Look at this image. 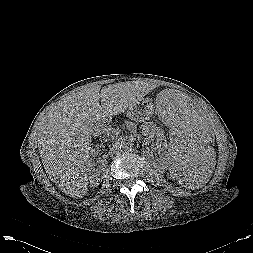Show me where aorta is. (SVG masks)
<instances>
[{"label":"aorta","mask_w":253,"mask_h":253,"mask_svg":"<svg viewBox=\"0 0 253 253\" xmlns=\"http://www.w3.org/2000/svg\"><path fill=\"white\" fill-rule=\"evenodd\" d=\"M118 148L122 153H128L132 150V144L127 140L118 142Z\"/></svg>","instance_id":"aorta-1"}]
</instances>
